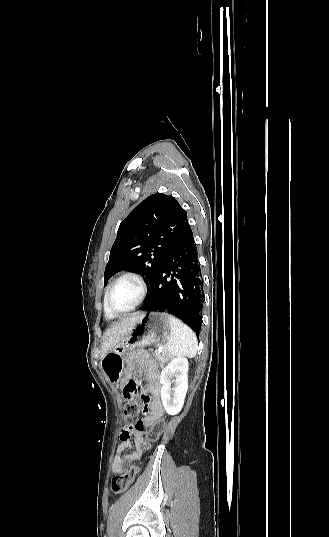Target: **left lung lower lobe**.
Instances as JSON below:
<instances>
[{"mask_svg": "<svg viewBox=\"0 0 329 537\" xmlns=\"http://www.w3.org/2000/svg\"><path fill=\"white\" fill-rule=\"evenodd\" d=\"M202 302L203 281L190 229L158 267L140 310L173 314L199 336Z\"/></svg>", "mask_w": 329, "mask_h": 537, "instance_id": "left-lung-lower-lobe-1", "label": "left lung lower lobe"}]
</instances>
